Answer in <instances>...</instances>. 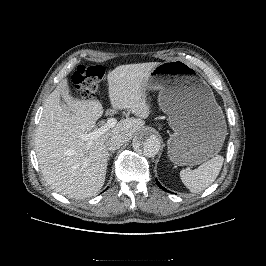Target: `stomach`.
I'll return each instance as SVG.
<instances>
[{"mask_svg":"<svg viewBox=\"0 0 266 266\" xmlns=\"http://www.w3.org/2000/svg\"><path fill=\"white\" fill-rule=\"evenodd\" d=\"M145 90H158V102L174 133L169 159L178 166L199 165L216 155L226 137V122L210 86L195 67L182 60L152 69Z\"/></svg>","mask_w":266,"mask_h":266,"instance_id":"obj_1","label":"stomach"}]
</instances>
